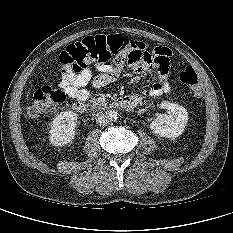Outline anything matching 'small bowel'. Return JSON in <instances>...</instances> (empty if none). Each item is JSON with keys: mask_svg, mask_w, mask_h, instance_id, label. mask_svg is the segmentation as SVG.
<instances>
[{"mask_svg": "<svg viewBox=\"0 0 233 233\" xmlns=\"http://www.w3.org/2000/svg\"><path fill=\"white\" fill-rule=\"evenodd\" d=\"M170 56L171 51L166 47H157L154 52H149L145 44L138 42L127 53L126 62L132 70L138 73L151 72L157 76L149 90V94L156 97L170 91L167 78L170 71ZM95 69L98 71L96 76H93L90 67L79 73L64 72L59 85L70 98L84 102L89 98V92L86 89L89 84L101 88L114 82L119 74L124 71L125 64L121 60H116L113 63L96 64ZM133 95L140 98L139 94Z\"/></svg>", "mask_w": 233, "mask_h": 233, "instance_id": "1", "label": "small bowel"}]
</instances>
